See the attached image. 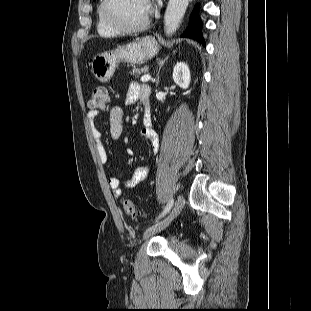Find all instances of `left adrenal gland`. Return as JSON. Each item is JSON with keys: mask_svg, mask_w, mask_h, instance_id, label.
<instances>
[{"mask_svg": "<svg viewBox=\"0 0 311 311\" xmlns=\"http://www.w3.org/2000/svg\"><path fill=\"white\" fill-rule=\"evenodd\" d=\"M168 59V56L165 58V59H159L158 61V64H159V70H158V73H157V81H156V85L158 84L159 82V72H160V69L162 68V66L164 65V63L167 61Z\"/></svg>", "mask_w": 311, "mask_h": 311, "instance_id": "a2214340", "label": "left adrenal gland"}]
</instances>
